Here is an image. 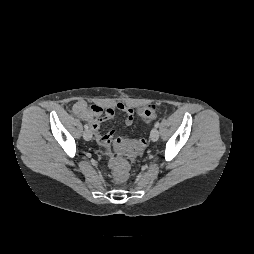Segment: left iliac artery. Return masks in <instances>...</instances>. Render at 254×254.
Wrapping results in <instances>:
<instances>
[{"instance_id":"obj_1","label":"left iliac artery","mask_w":254,"mask_h":254,"mask_svg":"<svg viewBox=\"0 0 254 254\" xmlns=\"http://www.w3.org/2000/svg\"><path fill=\"white\" fill-rule=\"evenodd\" d=\"M159 125H160V123L157 121L154 126H155V128H158Z\"/></svg>"}]
</instances>
